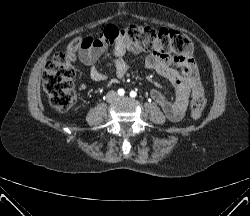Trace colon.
<instances>
[{
    "label": "colon",
    "instance_id": "obj_1",
    "mask_svg": "<svg viewBox=\"0 0 250 216\" xmlns=\"http://www.w3.org/2000/svg\"><path fill=\"white\" fill-rule=\"evenodd\" d=\"M124 40L142 50L159 49L163 54L174 53L180 57L190 58L193 44L188 36L175 30H155L142 25H129L124 28L108 26L97 37L75 39L64 51L54 55L47 63L43 73V88L51 105L59 111H68L77 103L73 88L76 51L90 45L105 46ZM206 107L203 93H192L190 113L193 119H199Z\"/></svg>",
    "mask_w": 250,
    "mask_h": 216
}]
</instances>
